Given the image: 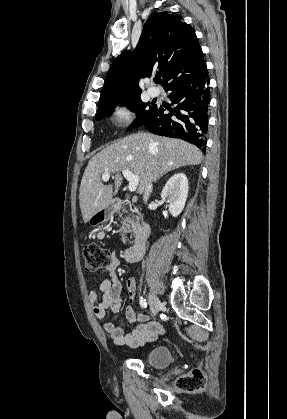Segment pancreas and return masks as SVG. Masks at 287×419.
<instances>
[{"instance_id": "cf45deb5", "label": "pancreas", "mask_w": 287, "mask_h": 419, "mask_svg": "<svg viewBox=\"0 0 287 419\" xmlns=\"http://www.w3.org/2000/svg\"><path fill=\"white\" fill-rule=\"evenodd\" d=\"M122 212H118V216L121 218V224H122V240L125 242V235L128 232L134 231L138 225V216L135 215L137 213L136 208H130L131 213H128V211L125 208L121 209Z\"/></svg>"}]
</instances>
